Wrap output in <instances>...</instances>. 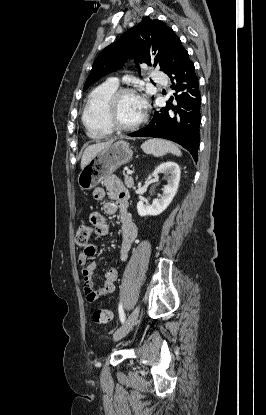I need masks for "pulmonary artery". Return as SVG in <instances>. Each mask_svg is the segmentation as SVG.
<instances>
[{
    "label": "pulmonary artery",
    "instance_id": "pulmonary-artery-1",
    "mask_svg": "<svg viewBox=\"0 0 266 415\" xmlns=\"http://www.w3.org/2000/svg\"><path fill=\"white\" fill-rule=\"evenodd\" d=\"M151 77L155 82L166 84L165 76L159 71H153L151 73ZM108 82L116 86H118V83H119L117 78H110Z\"/></svg>",
    "mask_w": 266,
    "mask_h": 415
}]
</instances>
